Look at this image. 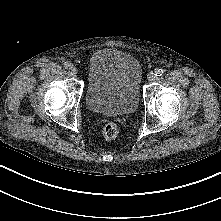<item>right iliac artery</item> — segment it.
Wrapping results in <instances>:
<instances>
[{"instance_id": "right-iliac-artery-1", "label": "right iliac artery", "mask_w": 221, "mask_h": 221, "mask_svg": "<svg viewBox=\"0 0 221 221\" xmlns=\"http://www.w3.org/2000/svg\"><path fill=\"white\" fill-rule=\"evenodd\" d=\"M72 63L70 62V61H66L65 63H64V67L66 68V69H71L72 68Z\"/></svg>"}]
</instances>
